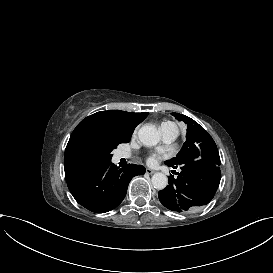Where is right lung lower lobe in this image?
I'll return each instance as SVG.
<instances>
[{
    "mask_svg": "<svg viewBox=\"0 0 273 273\" xmlns=\"http://www.w3.org/2000/svg\"><path fill=\"white\" fill-rule=\"evenodd\" d=\"M145 173L141 165L128 164L118 170L112 164H98L67 182L75 200L95 213H105L117 207L124 199L130 180Z\"/></svg>",
    "mask_w": 273,
    "mask_h": 273,
    "instance_id": "right-lung-lower-lobe-1",
    "label": "right lung lower lobe"
}]
</instances>
